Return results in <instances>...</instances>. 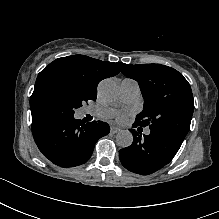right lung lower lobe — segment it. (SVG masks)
Listing matches in <instances>:
<instances>
[{
    "label": "right lung lower lobe",
    "instance_id": "1",
    "mask_svg": "<svg viewBox=\"0 0 219 219\" xmlns=\"http://www.w3.org/2000/svg\"><path fill=\"white\" fill-rule=\"evenodd\" d=\"M32 113V133L43 153L54 164L74 167L84 164L92 155L97 140L110 131L102 121L84 124L53 108L34 107Z\"/></svg>",
    "mask_w": 219,
    "mask_h": 219
}]
</instances>
